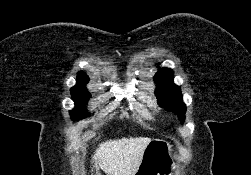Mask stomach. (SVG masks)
Instances as JSON below:
<instances>
[{
    "label": "stomach",
    "mask_w": 251,
    "mask_h": 175,
    "mask_svg": "<svg viewBox=\"0 0 251 175\" xmlns=\"http://www.w3.org/2000/svg\"><path fill=\"white\" fill-rule=\"evenodd\" d=\"M175 169L173 145L165 139H151L134 175H174Z\"/></svg>",
    "instance_id": "obj_1"
}]
</instances>
